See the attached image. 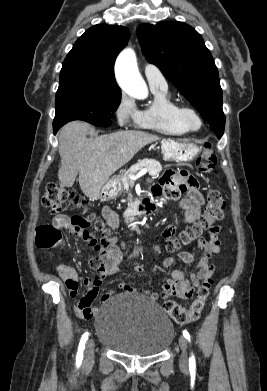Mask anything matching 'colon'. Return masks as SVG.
Wrapping results in <instances>:
<instances>
[{
	"label": "colon",
	"mask_w": 267,
	"mask_h": 391,
	"mask_svg": "<svg viewBox=\"0 0 267 391\" xmlns=\"http://www.w3.org/2000/svg\"><path fill=\"white\" fill-rule=\"evenodd\" d=\"M196 165L201 173H216V155L211 145L207 143L203 152L197 157ZM42 205L52 213H59L69 208H78L87 212L85 199L73 190L67 189L59 183H50L45 188L42 196ZM225 209V200L217 190H211L208 194L207 204L203 214L192 225L186 227L177 237H170L165 243L168 251H175L182 245H186L205 233L213 234L216 231L215 223L222 219ZM80 221L93 224L100 234V239L91 237L90 244L97 251H103L118 243V239L112 235L107 225L92 213L85 217L78 216ZM61 239L59 229L52 225H41L36 230V244L40 248L54 247ZM212 279L204 280L198 287L192 303L185 307L173 300H167L163 304L166 313L178 324H189L196 321L204 308L210 294Z\"/></svg>",
	"instance_id": "obj_1"
}]
</instances>
